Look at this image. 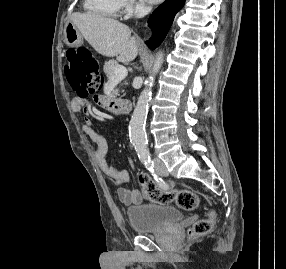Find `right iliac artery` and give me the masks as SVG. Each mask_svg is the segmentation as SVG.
Listing matches in <instances>:
<instances>
[{"instance_id": "82829eb1", "label": "right iliac artery", "mask_w": 286, "mask_h": 269, "mask_svg": "<svg viewBox=\"0 0 286 269\" xmlns=\"http://www.w3.org/2000/svg\"><path fill=\"white\" fill-rule=\"evenodd\" d=\"M145 167L152 173L154 179L158 182L160 186H164V182L162 178H160L157 174L154 173V163L151 161L150 157L142 159Z\"/></svg>"}]
</instances>
